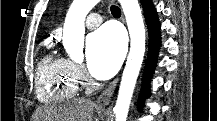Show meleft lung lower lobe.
Instances as JSON below:
<instances>
[{
    "label": "left lung lower lobe",
    "instance_id": "0a47b994",
    "mask_svg": "<svg viewBox=\"0 0 217 121\" xmlns=\"http://www.w3.org/2000/svg\"><path fill=\"white\" fill-rule=\"evenodd\" d=\"M142 6L145 12V19L148 26L149 32V51H148V60L145 67V76L143 81V88L141 91V96L139 98V108H142L143 99L149 97V86L148 80L152 75L156 59L158 55L159 45H160V26L156 14V10L153 7V4L149 0H141Z\"/></svg>",
    "mask_w": 217,
    "mask_h": 121
}]
</instances>
